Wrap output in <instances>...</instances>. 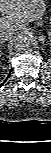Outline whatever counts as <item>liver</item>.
<instances>
[{
  "label": "liver",
  "mask_w": 51,
  "mask_h": 153,
  "mask_svg": "<svg viewBox=\"0 0 51 153\" xmlns=\"http://www.w3.org/2000/svg\"><path fill=\"white\" fill-rule=\"evenodd\" d=\"M45 10L44 0H0V31H21L41 19Z\"/></svg>",
  "instance_id": "obj_1"
}]
</instances>
